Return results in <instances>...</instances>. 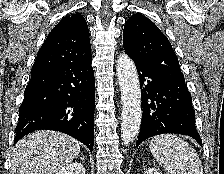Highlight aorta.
Segmentation results:
<instances>
[{
	"mask_svg": "<svg viewBox=\"0 0 224 174\" xmlns=\"http://www.w3.org/2000/svg\"><path fill=\"white\" fill-rule=\"evenodd\" d=\"M116 70L121 90V137L123 144L128 145L138 135L141 125L140 83L134 62L128 55L118 56Z\"/></svg>",
	"mask_w": 224,
	"mask_h": 174,
	"instance_id": "1",
	"label": "aorta"
}]
</instances>
